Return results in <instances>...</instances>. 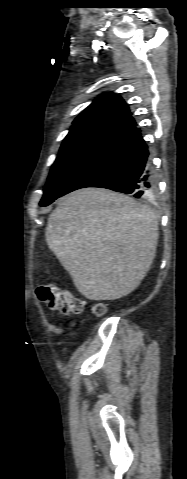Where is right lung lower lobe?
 I'll return each mask as SVG.
<instances>
[{"label":"right lung lower lobe","mask_w":187,"mask_h":479,"mask_svg":"<svg viewBox=\"0 0 187 479\" xmlns=\"http://www.w3.org/2000/svg\"><path fill=\"white\" fill-rule=\"evenodd\" d=\"M101 187L152 200L158 191L148 146L135 127L97 160L82 170L60 193Z\"/></svg>","instance_id":"98d812e1"}]
</instances>
